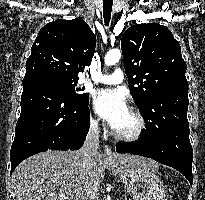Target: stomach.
<instances>
[{"mask_svg":"<svg viewBox=\"0 0 205 200\" xmlns=\"http://www.w3.org/2000/svg\"><path fill=\"white\" fill-rule=\"evenodd\" d=\"M111 169L124 183L133 200H165L163 182L153 168L111 164Z\"/></svg>","mask_w":205,"mask_h":200,"instance_id":"obj_1","label":"stomach"}]
</instances>
